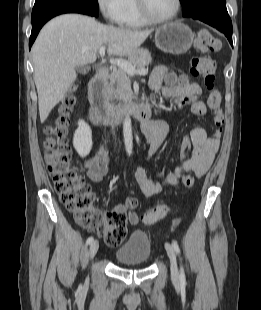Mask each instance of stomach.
Masks as SVG:
<instances>
[{
  "label": "stomach",
  "mask_w": 261,
  "mask_h": 310,
  "mask_svg": "<svg viewBox=\"0 0 261 310\" xmlns=\"http://www.w3.org/2000/svg\"><path fill=\"white\" fill-rule=\"evenodd\" d=\"M194 39L190 27L180 22H171L162 25L155 31L156 45L166 53H186Z\"/></svg>",
  "instance_id": "stomach-1"
}]
</instances>
